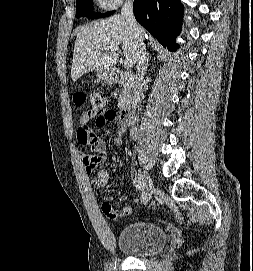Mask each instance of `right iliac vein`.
Returning <instances> with one entry per match:
<instances>
[{
    "instance_id": "63e3f726",
    "label": "right iliac vein",
    "mask_w": 253,
    "mask_h": 271,
    "mask_svg": "<svg viewBox=\"0 0 253 271\" xmlns=\"http://www.w3.org/2000/svg\"><path fill=\"white\" fill-rule=\"evenodd\" d=\"M140 177L143 183L144 204H147L149 200L151 199V196L154 190V184L151 177L145 171L141 172Z\"/></svg>"
}]
</instances>
